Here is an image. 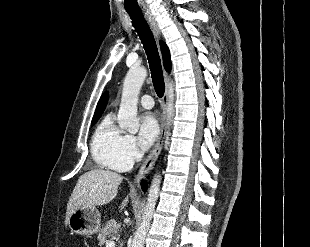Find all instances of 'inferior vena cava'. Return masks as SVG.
Listing matches in <instances>:
<instances>
[{"label":"inferior vena cava","instance_id":"inferior-vena-cava-1","mask_svg":"<svg viewBox=\"0 0 310 247\" xmlns=\"http://www.w3.org/2000/svg\"><path fill=\"white\" fill-rule=\"evenodd\" d=\"M142 157H143V152L138 150V151L135 153V158H136V160L139 161V160H141Z\"/></svg>","mask_w":310,"mask_h":247}]
</instances>
